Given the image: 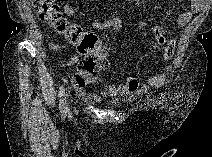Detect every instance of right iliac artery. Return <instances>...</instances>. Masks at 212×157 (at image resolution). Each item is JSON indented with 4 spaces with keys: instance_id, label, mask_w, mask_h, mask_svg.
<instances>
[{
    "instance_id": "1",
    "label": "right iliac artery",
    "mask_w": 212,
    "mask_h": 157,
    "mask_svg": "<svg viewBox=\"0 0 212 157\" xmlns=\"http://www.w3.org/2000/svg\"><path fill=\"white\" fill-rule=\"evenodd\" d=\"M58 96H59V109L61 113H65L67 106H66L65 88L63 85L59 88Z\"/></svg>"
}]
</instances>
